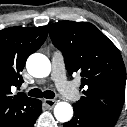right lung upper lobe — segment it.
<instances>
[{"label": "right lung upper lobe", "instance_id": "right-lung-upper-lobe-1", "mask_svg": "<svg viewBox=\"0 0 127 127\" xmlns=\"http://www.w3.org/2000/svg\"><path fill=\"white\" fill-rule=\"evenodd\" d=\"M47 34V26L10 27L0 31V127H29L36 118L38 99L23 93L12 95L11 88L21 86L20 72Z\"/></svg>", "mask_w": 127, "mask_h": 127}]
</instances>
